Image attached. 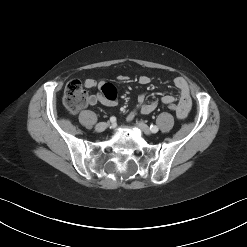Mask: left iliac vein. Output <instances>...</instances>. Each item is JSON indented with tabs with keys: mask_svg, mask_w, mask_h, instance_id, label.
<instances>
[{
	"mask_svg": "<svg viewBox=\"0 0 247 247\" xmlns=\"http://www.w3.org/2000/svg\"><path fill=\"white\" fill-rule=\"evenodd\" d=\"M137 126L146 134V135H150L151 134V130L149 128L148 125H146L143 122H137Z\"/></svg>",
	"mask_w": 247,
	"mask_h": 247,
	"instance_id": "4c4485c4",
	"label": "left iliac vein"
}]
</instances>
